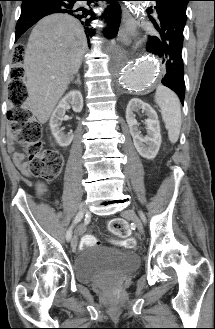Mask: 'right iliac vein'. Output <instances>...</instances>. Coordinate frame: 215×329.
<instances>
[{
  "mask_svg": "<svg viewBox=\"0 0 215 329\" xmlns=\"http://www.w3.org/2000/svg\"><path fill=\"white\" fill-rule=\"evenodd\" d=\"M85 212H86V204L84 202H82L79 206V213H81L83 216L85 214ZM77 244H78L77 236H74L71 240V248L73 251L76 250Z\"/></svg>",
  "mask_w": 215,
  "mask_h": 329,
  "instance_id": "obj_1",
  "label": "right iliac vein"
}]
</instances>
